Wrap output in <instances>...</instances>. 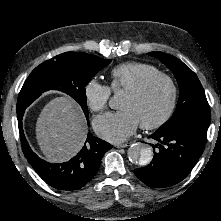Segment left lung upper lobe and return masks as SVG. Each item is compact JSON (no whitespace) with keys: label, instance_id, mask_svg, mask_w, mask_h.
<instances>
[{"label":"left lung upper lobe","instance_id":"left-lung-upper-lobe-1","mask_svg":"<svg viewBox=\"0 0 221 221\" xmlns=\"http://www.w3.org/2000/svg\"><path fill=\"white\" fill-rule=\"evenodd\" d=\"M172 70L179 85V100L172 117L157 131L172 133L181 128H197L207 132L210 108L203 87L196 74L181 60L163 52H150Z\"/></svg>","mask_w":221,"mask_h":221}]
</instances>
